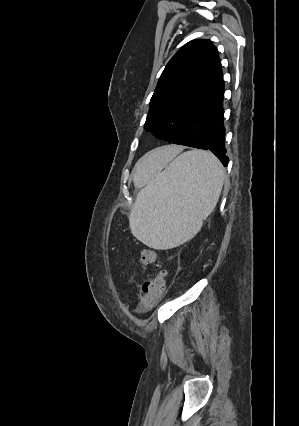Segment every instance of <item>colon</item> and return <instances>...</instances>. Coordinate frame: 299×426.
Masks as SVG:
<instances>
[{"label": "colon", "mask_w": 299, "mask_h": 426, "mask_svg": "<svg viewBox=\"0 0 299 426\" xmlns=\"http://www.w3.org/2000/svg\"><path fill=\"white\" fill-rule=\"evenodd\" d=\"M159 258L156 250L146 249L141 252L140 261L144 265L155 263ZM165 270L158 271L152 278L146 280L138 295L140 309L144 312L152 310L166 289Z\"/></svg>", "instance_id": "obj_1"}]
</instances>
